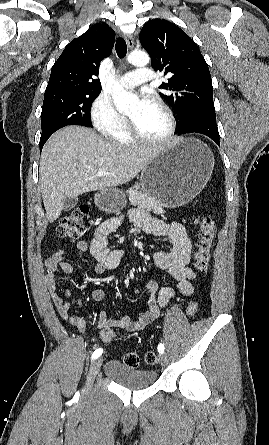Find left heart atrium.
Masks as SVG:
<instances>
[{"instance_id":"39dd6f15","label":"left heart atrium","mask_w":269,"mask_h":445,"mask_svg":"<svg viewBox=\"0 0 269 445\" xmlns=\"http://www.w3.org/2000/svg\"><path fill=\"white\" fill-rule=\"evenodd\" d=\"M149 103H150V101H149L146 97H142V98L139 100V105H140L141 107H145V106H147Z\"/></svg>"}]
</instances>
